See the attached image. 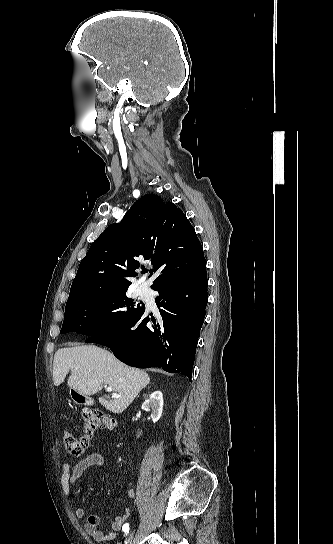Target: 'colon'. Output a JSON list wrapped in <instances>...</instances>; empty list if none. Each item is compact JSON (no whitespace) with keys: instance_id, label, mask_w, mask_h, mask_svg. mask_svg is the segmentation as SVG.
<instances>
[{"instance_id":"obj_1","label":"colon","mask_w":333,"mask_h":544,"mask_svg":"<svg viewBox=\"0 0 333 544\" xmlns=\"http://www.w3.org/2000/svg\"><path fill=\"white\" fill-rule=\"evenodd\" d=\"M114 421L96 410H85L82 413V434L76 436L65 432L63 443L66 451L74 456L82 455L88 447L89 440L96 428H114Z\"/></svg>"}]
</instances>
